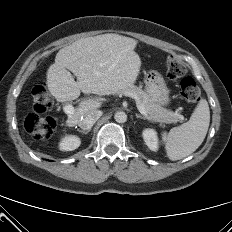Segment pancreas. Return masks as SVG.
<instances>
[{"mask_svg": "<svg viewBox=\"0 0 232 232\" xmlns=\"http://www.w3.org/2000/svg\"><path fill=\"white\" fill-rule=\"evenodd\" d=\"M118 93L123 95H136L139 98L140 103L144 106L148 116L154 121L160 122L161 124H170L177 123L180 120V116L177 112L169 111L166 108H163L160 104L154 102L140 87L132 85Z\"/></svg>", "mask_w": 232, "mask_h": 232, "instance_id": "obj_1", "label": "pancreas"}]
</instances>
